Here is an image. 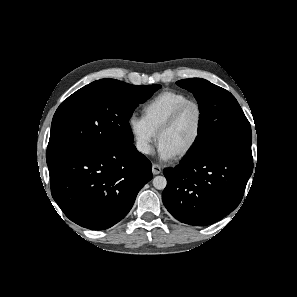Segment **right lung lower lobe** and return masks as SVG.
<instances>
[{
  "label": "right lung lower lobe",
  "instance_id": "1",
  "mask_svg": "<svg viewBox=\"0 0 297 297\" xmlns=\"http://www.w3.org/2000/svg\"><path fill=\"white\" fill-rule=\"evenodd\" d=\"M151 168L132 143L74 151L48 165L51 194L71 221L107 229L130 211L137 193L152 179Z\"/></svg>",
  "mask_w": 297,
  "mask_h": 297
}]
</instances>
